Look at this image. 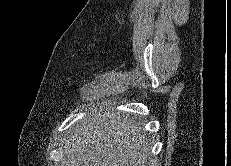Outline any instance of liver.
Returning a JSON list of instances; mask_svg holds the SVG:
<instances>
[{"label": "liver", "instance_id": "1", "mask_svg": "<svg viewBox=\"0 0 231 166\" xmlns=\"http://www.w3.org/2000/svg\"><path fill=\"white\" fill-rule=\"evenodd\" d=\"M150 144L143 129L115 112L92 113L69 131L65 166H146Z\"/></svg>", "mask_w": 231, "mask_h": 166}]
</instances>
